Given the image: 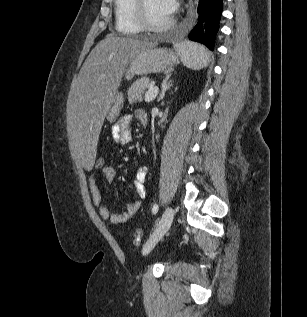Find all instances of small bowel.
<instances>
[{
    "instance_id": "small-bowel-1",
    "label": "small bowel",
    "mask_w": 307,
    "mask_h": 317,
    "mask_svg": "<svg viewBox=\"0 0 307 317\" xmlns=\"http://www.w3.org/2000/svg\"><path fill=\"white\" fill-rule=\"evenodd\" d=\"M145 116L143 111L137 112V117ZM132 116L130 114L123 115L111 129L112 137L118 144L125 146L131 141L130 125ZM105 179L109 182L113 181L116 177V171L111 166H106L102 169ZM148 175V168L141 166L138 168L133 185L138 199L126 204L122 212H114L102 203V196L96 182L95 175H91L89 179L90 193L93 204L98 208L99 214L102 219L109 221L112 224L124 223L129 220L142 206V199L146 196L145 181Z\"/></svg>"
}]
</instances>
